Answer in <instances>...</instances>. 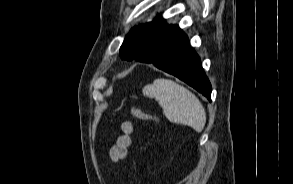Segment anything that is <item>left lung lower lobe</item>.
Returning a JSON list of instances; mask_svg holds the SVG:
<instances>
[{
    "mask_svg": "<svg viewBox=\"0 0 293 184\" xmlns=\"http://www.w3.org/2000/svg\"><path fill=\"white\" fill-rule=\"evenodd\" d=\"M151 57L143 62L172 74L192 86L211 101V84L187 35L176 25H166L148 43Z\"/></svg>",
    "mask_w": 293,
    "mask_h": 184,
    "instance_id": "1",
    "label": "left lung lower lobe"
}]
</instances>
